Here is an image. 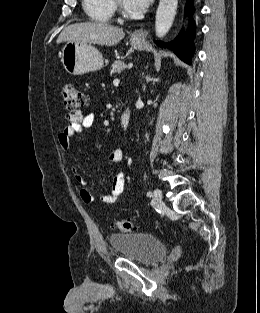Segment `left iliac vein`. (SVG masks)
<instances>
[{"label":"left iliac vein","mask_w":260,"mask_h":313,"mask_svg":"<svg viewBox=\"0 0 260 313\" xmlns=\"http://www.w3.org/2000/svg\"><path fill=\"white\" fill-rule=\"evenodd\" d=\"M161 201H162V191L159 188H156L153 194V202L158 205L161 203Z\"/></svg>","instance_id":"left-iliac-vein-1"}]
</instances>
